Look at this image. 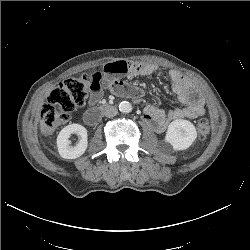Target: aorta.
I'll list each match as a JSON object with an SVG mask.
<instances>
[{"label": "aorta", "instance_id": "1", "mask_svg": "<svg viewBox=\"0 0 250 250\" xmlns=\"http://www.w3.org/2000/svg\"><path fill=\"white\" fill-rule=\"evenodd\" d=\"M119 110L122 113H130L132 111V105L128 101H123L119 104Z\"/></svg>", "mask_w": 250, "mask_h": 250}]
</instances>
